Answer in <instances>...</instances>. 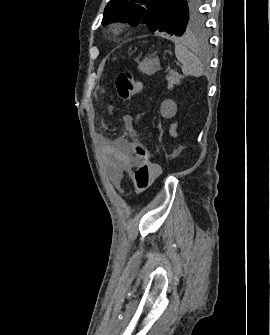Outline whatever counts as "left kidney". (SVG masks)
Here are the masks:
<instances>
[{"label":"left kidney","instance_id":"5707ae66","mask_svg":"<svg viewBox=\"0 0 270 335\" xmlns=\"http://www.w3.org/2000/svg\"><path fill=\"white\" fill-rule=\"evenodd\" d=\"M178 124H171V128L169 130V134L170 136H173V138H177L178 134L176 132V128H177Z\"/></svg>","mask_w":270,"mask_h":335}]
</instances>
